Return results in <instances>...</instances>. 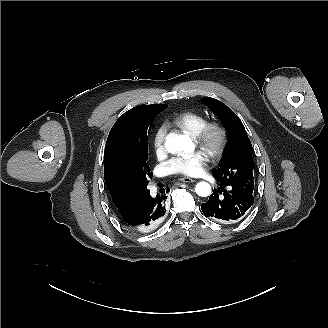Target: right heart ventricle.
<instances>
[{
	"label": "right heart ventricle",
	"mask_w": 328,
	"mask_h": 328,
	"mask_svg": "<svg viewBox=\"0 0 328 328\" xmlns=\"http://www.w3.org/2000/svg\"><path fill=\"white\" fill-rule=\"evenodd\" d=\"M206 121L207 119L204 115L195 112H186L172 119V122L177 127L190 136L196 135Z\"/></svg>",
	"instance_id": "obj_1"
}]
</instances>
